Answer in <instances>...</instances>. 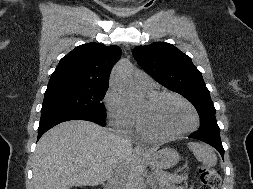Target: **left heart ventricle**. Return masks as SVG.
Returning <instances> with one entry per match:
<instances>
[{"mask_svg":"<svg viewBox=\"0 0 253 189\" xmlns=\"http://www.w3.org/2000/svg\"><path fill=\"white\" fill-rule=\"evenodd\" d=\"M137 115L147 131L162 136L183 131L193 123L190 109L172 97H163L153 104L145 101Z\"/></svg>","mask_w":253,"mask_h":189,"instance_id":"1","label":"left heart ventricle"}]
</instances>
